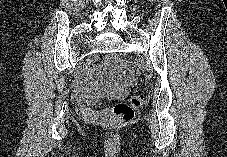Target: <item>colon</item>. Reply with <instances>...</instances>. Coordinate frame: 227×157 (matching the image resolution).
<instances>
[{
    "label": "colon",
    "mask_w": 227,
    "mask_h": 157,
    "mask_svg": "<svg viewBox=\"0 0 227 157\" xmlns=\"http://www.w3.org/2000/svg\"><path fill=\"white\" fill-rule=\"evenodd\" d=\"M145 102L144 96L137 95L131 98V103H118L114 106L111 113L103 117V121L108 124H118L120 122L129 121L134 117V108L141 107ZM94 105L98 107L100 103L94 102Z\"/></svg>",
    "instance_id": "1"
}]
</instances>
